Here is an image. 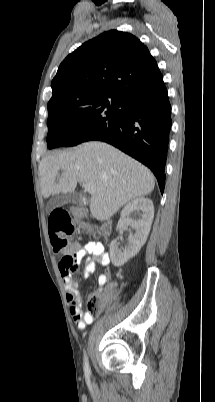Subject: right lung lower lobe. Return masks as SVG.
Here are the masks:
<instances>
[{
	"label": "right lung lower lobe",
	"instance_id": "obj_1",
	"mask_svg": "<svg viewBox=\"0 0 215 402\" xmlns=\"http://www.w3.org/2000/svg\"><path fill=\"white\" fill-rule=\"evenodd\" d=\"M171 125V105L164 86L129 99L121 118L85 141L107 142L137 159L151 169L163 193Z\"/></svg>",
	"mask_w": 215,
	"mask_h": 402
}]
</instances>
